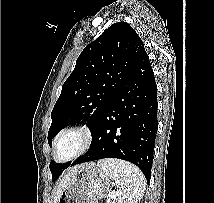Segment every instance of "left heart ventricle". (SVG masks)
<instances>
[{"label":"left heart ventricle","instance_id":"b2bd125f","mask_svg":"<svg viewBox=\"0 0 214 203\" xmlns=\"http://www.w3.org/2000/svg\"><path fill=\"white\" fill-rule=\"evenodd\" d=\"M80 146V138L78 135H70L66 137L60 144L57 157L59 160H63L74 154Z\"/></svg>","mask_w":214,"mask_h":203}]
</instances>
